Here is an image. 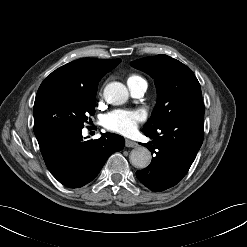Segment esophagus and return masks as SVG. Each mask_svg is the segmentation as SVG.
<instances>
[{
	"instance_id": "34e87169",
	"label": "esophagus",
	"mask_w": 247,
	"mask_h": 247,
	"mask_svg": "<svg viewBox=\"0 0 247 247\" xmlns=\"http://www.w3.org/2000/svg\"><path fill=\"white\" fill-rule=\"evenodd\" d=\"M125 145H126V147H131V148L138 147V143H136L135 141H132L130 139L125 140Z\"/></svg>"
}]
</instances>
